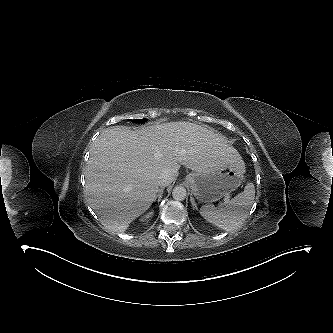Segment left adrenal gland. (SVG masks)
I'll use <instances>...</instances> for the list:
<instances>
[{
  "label": "left adrenal gland",
  "mask_w": 333,
  "mask_h": 333,
  "mask_svg": "<svg viewBox=\"0 0 333 333\" xmlns=\"http://www.w3.org/2000/svg\"><path fill=\"white\" fill-rule=\"evenodd\" d=\"M190 201H191V204H192L193 209H196V210H197V205H196L195 200H194L193 197H190Z\"/></svg>",
  "instance_id": "left-adrenal-gland-1"
}]
</instances>
